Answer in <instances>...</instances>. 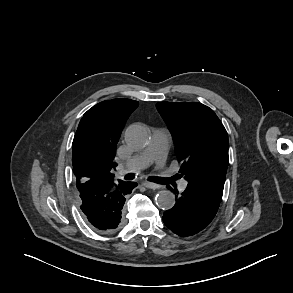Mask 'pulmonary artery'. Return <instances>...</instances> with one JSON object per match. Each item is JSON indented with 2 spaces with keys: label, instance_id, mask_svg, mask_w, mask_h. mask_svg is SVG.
<instances>
[{
  "label": "pulmonary artery",
  "instance_id": "e3ab8cb5",
  "mask_svg": "<svg viewBox=\"0 0 293 293\" xmlns=\"http://www.w3.org/2000/svg\"><path fill=\"white\" fill-rule=\"evenodd\" d=\"M171 141L170 133L166 129H157L147 147L140 153L134 155L127 162L119 167V173L138 172L145 169L152 163L163 166L166 160V153ZM187 182L182 181L179 189L183 191Z\"/></svg>",
  "mask_w": 293,
  "mask_h": 293
}]
</instances>
